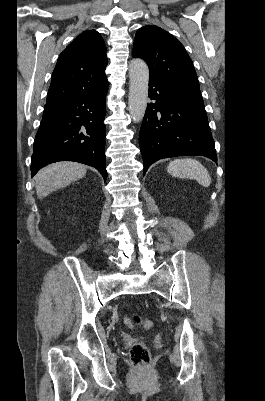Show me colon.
<instances>
[{
    "mask_svg": "<svg viewBox=\"0 0 265 401\" xmlns=\"http://www.w3.org/2000/svg\"><path fill=\"white\" fill-rule=\"evenodd\" d=\"M127 323L140 327L144 330L152 328L153 323L149 319L142 318L135 314L131 319H126ZM129 356L133 365L139 370H145L150 362V351L148 346L143 342H138L130 348Z\"/></svg>",
    "mask_w": 265,
    "mask_h": 401,
    "instance_id": "obj_1",
    "label": "colon"
}]
</instances>
